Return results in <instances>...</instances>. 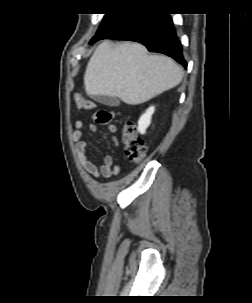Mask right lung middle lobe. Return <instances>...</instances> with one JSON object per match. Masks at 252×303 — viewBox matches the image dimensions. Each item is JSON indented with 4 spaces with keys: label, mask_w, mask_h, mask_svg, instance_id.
<instances>
[{
    "label": "right lung middle lobe",
    "mask_w": 252,
    "mask_h": 303,
    "mask_svg": "<svg viewBox=\"0 0 252 303\" xmlns=\"http://www.w3.org/2000/svg\"><path fill=\"white\" fill-rule=\"evenodd\" d=\"M120 16L121 14H106L102 24L91 41L104 35L116 23Z\"/></svg>",
    "instance_id": "1"
}]
</instances>
